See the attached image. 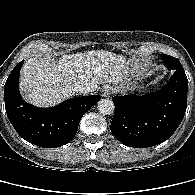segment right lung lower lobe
Returning a JSON list of instances; mask_svg holds the SVG:
<instances>
[{
    "label": "right lung lower lobe",
    "instance_id": "98d812e1",
    "mask_svg": "<svg viewBox=\"0 0 195 195\" xmlns=\"http://www.w3.org/2000/svg\"><path fill=\"white\" fill-rule=\"evenodd\" d=\"M19 62L4 86L5 109L16 132L26 141L44 148H56L76 135L82 116L100 100L99 95L68 99L51 108L26 103L19 93Z\"/></svg>",
    "mask_w": 195,
    "mask_h": 195
}]
</instances>
